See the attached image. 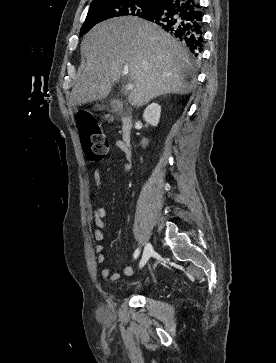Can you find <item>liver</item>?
Instances as JSON below:
<instances>
[{"label":"liver","instance_id":"1","mask_svg":"<svg viewBox=\"0 0 276 363\" xmlns=\"http://www.w3.org/2000/svg\"><path fill=\"white\" fill-rule=\"evenodd\" d=\"M81 54L86 64L72 89L71 106L105 99L123 75L134 85L128 95L133 106L163 94H188L195 87V67L187 48L138 17L99 23L84 36Z\"/></svg>","mask_w":276,"mask_h":363}]
</instances>
